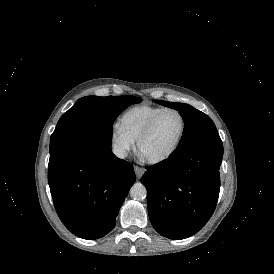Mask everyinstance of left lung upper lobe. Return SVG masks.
Listing matches in <instances>:
<instances>
[{"mask_svg": "<svg viewBox=\"0 0 274 274\" xmlns=\"http://www.w3.org/2000/svg\"><path fill=\"white\" fill-rule=\"evenodd\" d=\"M154 101L177 110L183 118L185 125L183 136L172 154L181 153L203 143L221 141L215 124L203 112L184 103H173L162 100Z\"/></svg>", "mask_w": 274, "mask_h": 274, "instance_id": "1", "label": "left lung upper lobe"}]
</instances>
